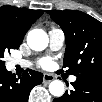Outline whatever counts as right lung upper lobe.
Returning <instances> with one entry per match:
<instances>
[{"mask_svg": "<svg viewBox=\"0 0 102 102\" xmlns=\"http://www.w3.org/2000/svg\"><path fill=\"white\" fill-rule=\"evenodd\" d=\"M43 13V10L1 6L0 38L20 45L31 25Z\"/></svg>", "mask_w": 102, "mask_h": 102, "instance_id": "obj_1", "label": "right lung upper lobe"}]
</instances>
